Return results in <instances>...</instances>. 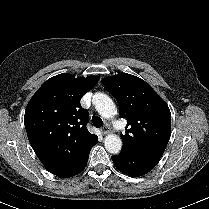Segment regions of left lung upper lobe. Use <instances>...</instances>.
<instances>
[{
	"instance_id": "5c2ea615",
	"label": "left lung upper lobe",
	"mask_w": 209,
	"mask_h": 209,
	"mask_svg": "<svg viewBox=\"0 0 209 209\" xmlns=\"http://www.w3.org/2000/svg\"><path fill=\"white\" fill-rule=\"evenodd\" d=\"M102 83L127 120L122 150L161 158L171 136L167 104L145 81L127 73L104 78Z\"/></svg>"
}]
</instances>
